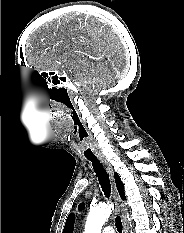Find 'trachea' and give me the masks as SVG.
<instances>
[{
  "label": "trachea",
  "mask_w": 184,
  "mask_h": 233,
  "mask_svg": "<svg viewBox=\"0 0 184 233\" xmlns=\"http://www.w3.org/2000/svg\"><path fill=\"white\" fill-rule=\"evenodd\" d=\"M79 142L84 156L92 163L94 172L98 177L101 188L107 198L111 196V183L109 175L94 154V150L89 143V133L84 126H79L78 132ZM115 225L119 233H122V222L120 216H116Z\"/></svg>",
  "instance_id": "1"
}]
</instances>
